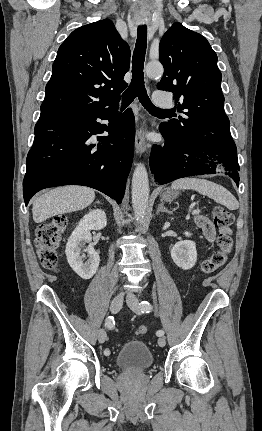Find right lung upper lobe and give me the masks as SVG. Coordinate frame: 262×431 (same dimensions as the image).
I'll return each mask as SVG.
<instances>
[{
  "label": "right lung upper lobe",
  "instance_id": "right-lung-upper-lobe-1",
  "mask_svg": "<svg viewBox=\"0 0 262 431\" xmlns=\"http://www.w3.org/2000/svg\"><path fill=\"white\" fill-rule=\"evenodd\" d=\"M130 48L109 19L74 30L58 49L41 115L100 113L117 108Z\"/></svg>",
  "mask_w": 262,
  "mask_h": 431
}]
</instances>
